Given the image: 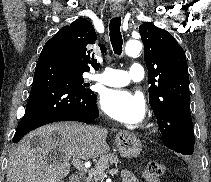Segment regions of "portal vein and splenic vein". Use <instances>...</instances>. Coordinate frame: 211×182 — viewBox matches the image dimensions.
I'll return each instance as SVG.
<instances>
[{"label":"portal vein and splenic vein","instance_id":"18ae733b","mask_svg":"<svg viewBox=\"0 0 211 182\" xmlns=\"http://www.w3.org/2000/svg\"><path fill=\"white\" fill-rule=\"evenodd\" d=\"M72 163H73V165H74L78 170H80V171H85V172L87 171V169H86V164H83L79 159L72 158ZM88 172H90V170H89ZM117 172H118L117 169H112V170H110L109 173L115 174V173H117Z\"/></svg>","mask_w":211,"mask_h":182}]
</instances>
